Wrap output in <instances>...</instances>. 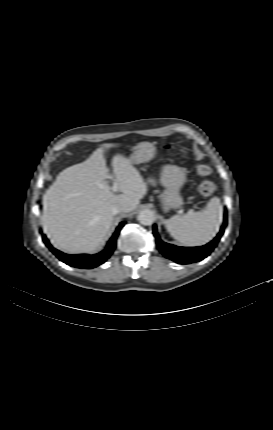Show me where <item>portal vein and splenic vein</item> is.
<instances>
[{"label":"portal vein and splenic vein","mask_w":273,"mask_h":430,"mask_svg":"<svg viewBox=\"0 0 273 430\" xmlns=\"http://www.w3.org/2000/svg\"><path fill=\"white\" fill-rule=\"evenodd\" d=\"M109 178H112V176H109ZM111 190H112L113 192H116V191H118V190H119L118 183H117V181H116V180H114L113 185H112V187H111Z\"/></svg>","instance_id":"1"}]
</instances>
